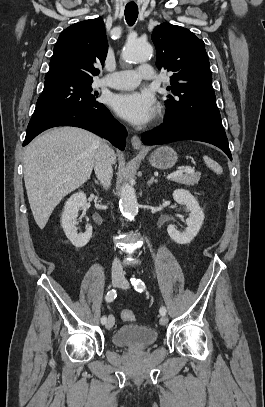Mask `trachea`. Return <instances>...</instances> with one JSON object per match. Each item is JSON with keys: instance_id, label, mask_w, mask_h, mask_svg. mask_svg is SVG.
Instances as JSON below:
<instances>
[{"instance_id": "1", "label": "trachea", "mask_w": 265, "mask_h": 407, "mask_svg": "<svg viewBox=\"0 0 265 407\" xmlns=\"http://www.w3.org/2000/svg\"><path fill=\"white\" fill-rule=\"evenodd\" d=\"M138 17V7L126 6L125 7V19L126 22L132 26Z\"/></svg>"}]
</instances>
